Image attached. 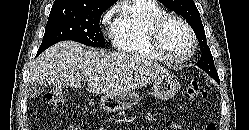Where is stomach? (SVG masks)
<instances>
[{"instance_id":"1","label":"stomach","mask_w":249,"mask_h":130,"mask_svg":"<svg viewBox=\"0 0 249 130\" xmlns=\"http://www.w3.org/2000/svg\"><path fill=\"white\" fill-rule=\"evenodd\" d=\"M180 83L170 75L159 77L154 82L152 95L161 100H168L175 96L180 90ZM140 98L136 92L120 94H107L100 100L102 110L107 112H118L132 108L137 105Z\"/></svg>"}]
</instances>
